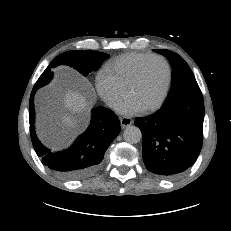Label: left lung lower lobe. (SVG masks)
Wrapping results in <instances>:
<instances>
[{"label": "left lung lower lobe", "instance_id": "left-lung-lower-lobe-1", "mask_svg": "<svg viewBox=\"0 0 231 231\" xmlns=\"http://www.w3.org/2000/svg\"><path fill=\"white\" fill-rule=\"evenodd\" d=\"M203 121L202 93L183 96L150 116L137 118L146 168L163 178L185 172L200 153Z\"/></svg>", "mask_w": 231, "mask_h": 231}]
</instances>
